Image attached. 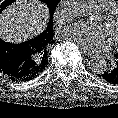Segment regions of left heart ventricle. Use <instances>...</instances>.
<instances>
[{
	"label": "left heart ventricle",
	"instance_id": "1",
	"mask_svg": "<svg viewBox=\"0 0 118 118\" xmlns=\"http://www.w3.org/2000/svg\"><path fill=\"white\" fill-rule=\"evenodd\" d=\"M107 29L111 33L113 40L118 38V18L110 24H106Z\"/></svg>",
	"mask_w": 118,
	"mask_h": 118
}]
</instances>
